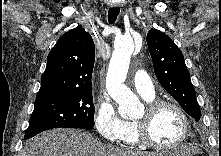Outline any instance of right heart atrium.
<instances>
[{"instance_id":"d8ad5b80","label":"right heart atrium","mask_w":221,"mask_h":156,"mask_svg":"<svg viewBox=\"0 0 221 156\" xmlns=\"http://www.w3.org/2000/svg\"><path fill=\"white\" fill-rule=\"evenodd\" d=\"M94 124L102 138L109 142L123 140L127 125L117 113L115 104L110 97L101 93L95 104Z\"/></svg>"}]
</instances>
